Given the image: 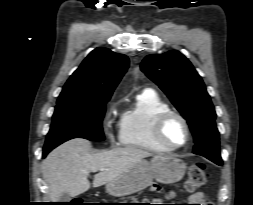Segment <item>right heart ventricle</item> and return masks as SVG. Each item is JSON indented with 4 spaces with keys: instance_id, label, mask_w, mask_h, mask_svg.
I'll return each mask as SVG.
<instances>
[{
    "instance_id": "obj_1",
    "label": "right heart ventricle",
    "mask_w": 253,
    "mask_h": 205,
    "mask_svg": "<svg viewBox=\"0 0 253 205\" xmlns=\"http://www.w3.org/2000/svg\"><path fill=\"white\" fill-rule=\"evenodd\" d=\"M170 110L168 103L155 91L143 90L137 95L135 105L121 115L119 143L151 152L167 151L155 141L153 125L160 114Z\"/></svg>"
}]
</instances>
